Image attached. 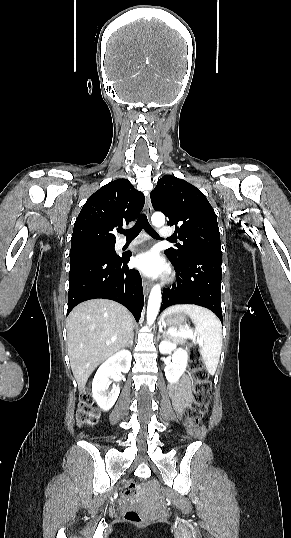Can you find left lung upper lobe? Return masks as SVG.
Returning a JSON list of instances; mask_svg holds the SVG:
<instances>
[{"instance_id": "1", "label": "left lung upper lobe", "mask_w": 291, "mask_h": 538, "mask_svg": "<svg viewBox=\"0 0 291 538\" xmlns=\"http://www.w3.org/2000/svg\"><path fill=\"white\" fill-rule=\"evenodd\" d=\"M153 208L168 217L183 242L165 251L174 262L197 252L221 253L220 232L214 209L195 186L174 176H163L151 192Z\"/></svg>"}]
</instances>
